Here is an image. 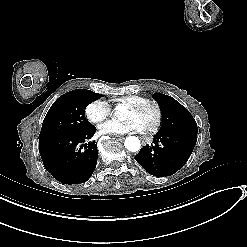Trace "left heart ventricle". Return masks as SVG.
<instances>
[{"label": "left heart ventricle", "mask_w": 247, "mask_h": 247, "mask_svg": "<svg viewBox=\"0 0 247 247\" xmlns=\"http://www.w3.org/2000/svg\"><path fill=\"white\" fill-rule=\"evenodd\" d=\"M125 118L137 120L141 125L142 131L147 133L155 123V108L152 105H147L140 111H133L132 109L127 108Z\"/></svg>", "instance_id": "left-heart-ventricle-1"}]
</instances>
